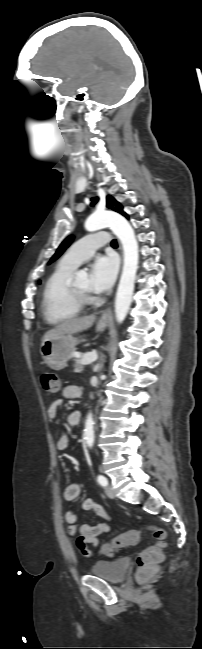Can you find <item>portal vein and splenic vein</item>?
Returning <instances> with one entry per match:
<instances>
[{"mask_svg":"<svg viewBox=\"0 0 202 649\" xmlns=\"http://www.w3.org/2000/svg\"><path fill=\"white\" fill-rule=\"evenodd\" d=\"M96 360H97V354L95 352H92V353L86 354L82 358V364L83 365H90V364L94 363Z\"/></svg>","mask_w":202,"mask_h":649,"instance_id":"portal-vein-and-splenic-vein-1","label":"portal vein and splenic vein"}]
</instances>
